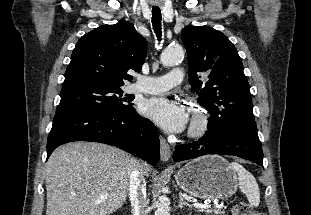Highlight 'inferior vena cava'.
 Returning <instances> with one entry per match:
<instances>
[{
  "instance_id": "inferior-vena-cava-1",
  "label": "inferior vena cava",
  "mask_w": 311,
  "mask_h": 215,
  "mask_svg": "<svg viewBox=\"0 0 311 215\" xmlns=\"http://www.w3.org/2000/svg\"><path fill=\"white\" fill-rule=\"evenodd\" d=\"M129 195L132 215H140V210L145 208L146 182L138 167L134 168L130 175Z\"/></svg>"
}]
</instances>
